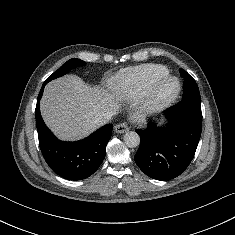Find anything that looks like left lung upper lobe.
<instances>
[{"label":"left lung upper lobe","mask_w":235,"mask_h":235,"mask_svg":"<svg viewBox=\"0 0 235 235\" xmlns=\"http://www.w3.org/2000/svg\"><path fill=\"white\" fill-rule=\"evenodd\" d=\"M180 74L184 79L190 81V83L192 84V87H193L192 96L194 98H200L199 89H198V86H197L195 80L183 69H180Z\"/></svg>","instance_id":"obj_1"}]
</instances>
